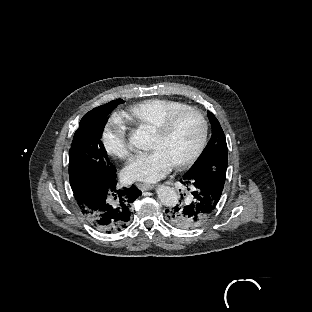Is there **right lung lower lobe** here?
<instances>
[{
    "mask_svg": "<svg viewBox=\"0 0 312 312\" xmlns=\"http://www.w3.org/2000/svg\"><path fill=\"white\" fill-rule=\"evenodd\" d=\"M111 195L115 204L106 201ZM141 195V191L132 185L129 189L116 190V180L107 179L90 188L78 191L75 196L80 209L91 225L108 234L121 231L130 219L131 204Z\"/></svg>",
    "mask_w": 312,
    "mask_h": 312,
    "instance_id": "1",
    "label": "right lung lower lobe"
}]
</instances>
